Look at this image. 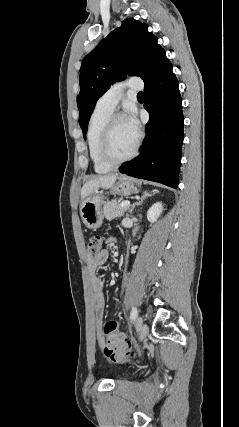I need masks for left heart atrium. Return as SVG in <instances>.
Instances as JSON below:
<instances>
[{"label": "left heart atrium", "instance_id": "obj_1", "mask_svg": "<svg viewBox=\"0 0 239 427\" xmlns=\"http://www.w3.org/2000/svg\"><path fill=\"white\" fill-rule=\"evenodd\" d=\"M124 120H125L128 128L137 136L139 126H138V122H137V119L134 116V114H132V113L128 114Z\"/></svg>", "mask_w": 239, "mask_h": 427}]
</instances>
